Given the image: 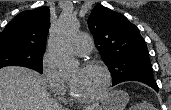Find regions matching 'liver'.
I'll return each mask as SVG.
<instances>
[{
    "label": "liver",
    "mask_w": 171,
    "mask_h": 110,
    "mask_svg": "<svg viewBox=\"0 0 171 110\" xmlns=\"http://www.w3.org/2000/svg\"><path fill=\"white\" fill-rule=\"evenodd\" d=\"M98 105L87 107L94 109ZM0 110H63L36 71L18 66L0 69Z\"/></svg>",
    "instance_id": "1"
}]
</instances>
